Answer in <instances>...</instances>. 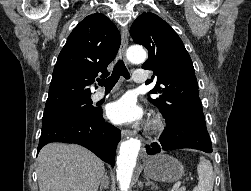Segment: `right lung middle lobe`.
Instances as JSON below:
<instances>
[{
    "mask_svg": "<svg viewBox=\"0 0 251 191\" xmlns=\"http://www.w3.org/2000/svg\"><path fill=\"white\" fill-rule=\"evenodd\" d=\"M98 112L99 109L92 106L91 99H86L74 103H68L45 109L42 118V125L67 116H72V115L92 116Z\"/></svg>",
    "mask_w": 251,
    "mask_h": 191,
    "instance_id": "obj_1",
    "label": "right lung middle lobe"
}]
</instances>
